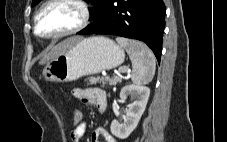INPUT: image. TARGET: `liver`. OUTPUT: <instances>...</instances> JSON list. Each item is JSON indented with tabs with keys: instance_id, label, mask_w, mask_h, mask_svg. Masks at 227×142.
Masks as SVG:
<instances>
[{
	"instance_id": "liver-1",
	"label": "liver",
	"mask_w": 227,
	"mask_h": 142,
	"mask_svg": "<svg viewBox=\"0 0 227 142\" xmlns=\"http://www.w3.org/2000/svg\"><path fill=\"white\" fill-rule=\"evenodd\" d=\"M81 37H72L68 38L56 46H54L49 53H47L40 61L39 64L43 65L46 63H49L51 60L59 56L60 54L64 53L66 50H68L74 43L80 41Z\"/></svg>"
}]
</instances>
